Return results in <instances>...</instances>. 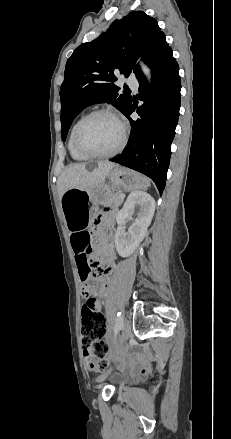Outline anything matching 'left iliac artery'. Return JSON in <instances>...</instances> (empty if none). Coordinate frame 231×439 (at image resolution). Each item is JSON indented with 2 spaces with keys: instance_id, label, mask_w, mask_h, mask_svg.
<instances>
[{
  "instance_id": "obj_1",
  "label": "left iliac artery",
  "mask_w": 231,
  "mask_h": 439,
  "mask_svg": "<svg viewBox=\"0 0 231 439\" xmlns=\"http://www.w3.org/2000/svg\"><path fill=\"white\" fill-rule=\"evenodd\" d=\"M122 325H123V319L121 317V312H117V318H116L115 325H114L115 337L118 334L119 330L122 328Z\"/></svg>"
}]
</instances>
